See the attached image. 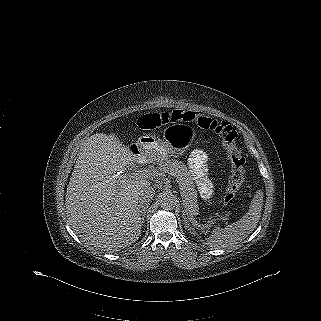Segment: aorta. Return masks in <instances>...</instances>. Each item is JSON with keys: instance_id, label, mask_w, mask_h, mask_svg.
Returning <instances> with one entry per match:
<instances>
[{"instance_id": "762f6f07", "label": "aorta", "mask_w": 321, "mask_h": 321, "mask_svg": "<svg viewBox=\"0 0 321 321\" xmlns=\"http://www.w3.org/2000/svg\"><path fill=\"white\" fill-rule=\"evenodd\" d=\"M159 202H160L161 208L165 210H172L176 207L178 203V199L172 193H165L161 196Z\"/></svg>"}]
</instances>
